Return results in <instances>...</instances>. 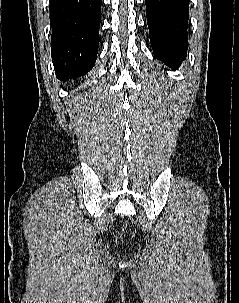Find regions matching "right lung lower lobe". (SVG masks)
I'll list each match as a JSON object with an SVG mask.
<instances>
[{
  "label": "right lung lower lobe",
  "mask_w": 239,
  "mask_h": 303,
  "mask_svg": "<svg viewBox=\"0 0 239 303\" xmlns=\"http://www.w3.org/2000/svg\"><path fill=\"white\" fill-rule=\"evenodd\" d=\"M102 0H50L51 55L60 80L83 76L96 61Z\"/></svg>",
  "instance_id": "right-lung-lower-lobe-1"
}]
</instances>
